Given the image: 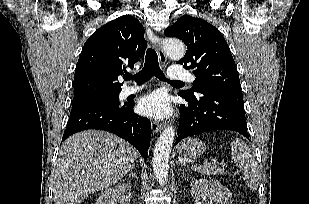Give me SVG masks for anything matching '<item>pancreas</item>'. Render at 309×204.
<instances>
[{
    "mask_svg": "<svg viewBox=\"0 0 309 204\" xmlns=\"http://www.w3.org/2000/svg\"><path fill=\"white\" fill-rule=\"evenodd\" d=\"M194 170L203 174V175H220L224 172V169L221 167H217L214 163H205L202 165H197L194 167Z\"/></svg>",
    "mask_w": 309,
    "mask_h": 204,
    "instance_id": "pancreas-1",
    "label": "pancreas"
}]
</instances>
